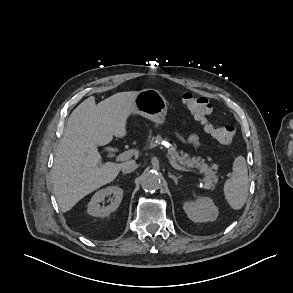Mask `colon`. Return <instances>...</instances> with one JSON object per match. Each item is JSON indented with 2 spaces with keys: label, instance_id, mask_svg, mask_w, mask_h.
Listing matches in <instances>:
<instances>
[{
  "label": "colon",
  "instance_id": "obj_1",
  "mask_svg": "<svg viewBox=\"0 0 293 293\" xmlns=\"http://www.w3.org/2000/svg\"><path fill=\"white\" fill-rule=\"evenodd\" d=\"M184 106L198 120L218 142L229 144L235 136V128L231 125H224L212 122L214 111L211 103L205 97L186 93L182 98Z\"/></svg>",
  "mask_w": 293,
  "mask_h": 293
}]
</instances>
